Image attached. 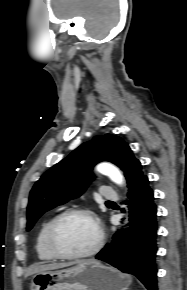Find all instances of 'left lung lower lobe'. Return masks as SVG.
Here are the masks:
<instances>
[{
	"mask_svg": "<svg viewBox=\"0 0 187 290\" xmlns=\"http://www.w3.org/2000/svg\"><path fill=\"white\" fill-rule=\"evenodd\" d=\"M128 197L130 228L118 231L96 258L135 275L148 290H157V206L146 175L130 187Z\"/></svg>",
	"mask_w": 187,
	"mask_h": 290,
	"instance_id": "1",
	"label": "left lung lower lobe"
}]
</instances>
